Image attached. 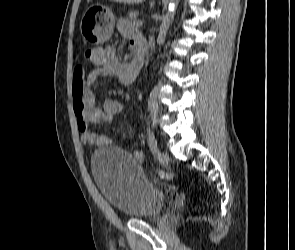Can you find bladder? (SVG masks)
I'll list each match as a JSON object with an SVG mask.
<instances>
[{
  "label": "bladder",
  "mask_w": 295,
  "mask_h": 250,
  "mask_svg": "<svg viewBox=\"0 0 295 250\" xmlns=\"http://www.w3.org/2000/svg\"><path fill=\"white\" fill-rule=\"evenodd\" d=\"M91 170L102 196L122 214L153 219L162 212L165 194L126 151L111 146L97 150L91 157Z\"/></svg>",
  "instance_id": "31cf9c89"
}]
</instances>
